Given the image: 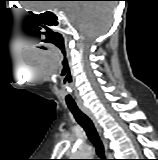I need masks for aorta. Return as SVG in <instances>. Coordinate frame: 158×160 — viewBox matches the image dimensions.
<instances>
[{"instance_id":"aorta-1","label":"aorta","mask_w":158,"mask_h":160,"mask_svg":"<svg viewBox=\"0 0 158 160\" xmlns=\"http://www.w3.org/2000/svg\"><path fill=\"white\" fill-rule=\"evenodd\" d=\"M92 155V149L88 145L79 146L72 155V159H90Z\"/></svg>"}]
</instances>
